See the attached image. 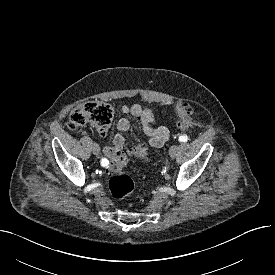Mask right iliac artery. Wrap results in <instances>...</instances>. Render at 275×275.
<instances>
[{
    "label": "right iliac artery",
    "instance_id": "82829eb1",
    "mask_svg": "<svg viewBox=\"0 0 275 275\" xmlns=\"http://www.w3.org/2000/svg\"><path fill=\"white\" fill-rule=\"evenodd\" d=\"M108 164H109V161H108L106 158H102V159H101V165H102L103 167L108 166Z\"/></svg>",
    "mask_w": 275,
    "mask_h": 275
}]
</instances>
